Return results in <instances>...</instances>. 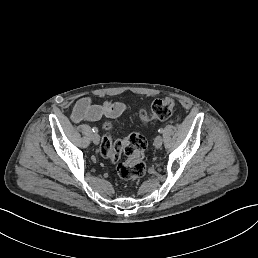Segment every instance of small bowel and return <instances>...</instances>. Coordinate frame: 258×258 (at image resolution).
Wrapping results in <instances>:
<instances>
[{
    "label": "small bowel",
    "instance_id": "small-bowel-1",
    "mask_svg": "<svg viewBox=\"0 0 258 258\" xmlns=\"http://www.w3.org/2000/svg\"><path fill=\"white\" fill-rule=\"evenodd\" d=\"M126 104L122 102L94 103L91 98L85 97L77 101L72 112V120L98 121L102 117L119 118L126 110Z\"/></svg>",
    "mask_w": 258,
    "mask_h": 258
}]
</instances>
